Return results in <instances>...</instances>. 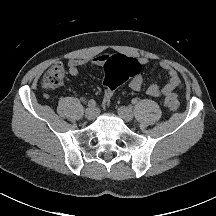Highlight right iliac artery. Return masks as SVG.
<instances>
[{"label": "right iliac artery", "mask_w": 216, "mask_h": 216, "mask_svg": "<svg viewBox=\"0 0 216 216\" xmlns=\"http://www.w3.org/2000/svg\"><path fill=\"white\" fill-rule=\"evenodd\" d=\"M88 106L89 107H95L96 106V102L94 100H89L88 101Z\"/></svg>", "instance_id": "right-iliac-artery-1"}]
</instances>
